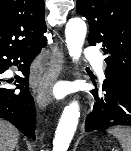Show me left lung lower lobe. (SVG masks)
Masks as SVG:
<instances>
[{
    "mask_svg": "<svg viewBox=\"0 0 131 151\" xmlns=\"http://www.w3.org/2000/svg\"><path fill=\"white\" fill-rule=\"evenodd\" d=\"M105 75L101 86L104 93L97 88L90 91L95 102L86 116L85 132L117 125L131 126V81L118 79L109 72Z\"/></svg>",
    "mask_w": 131,
    "mask_h": 151,
    "instance_id": "0a47b994",
    "label": "left lung lower lobe"
}]
</instances>
